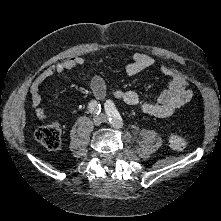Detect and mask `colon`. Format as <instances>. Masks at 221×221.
Wrapping results in <instances>:
<instances>
[{
    "label": "colon",
    "instance_id": "colon-1",
    "mask_svg": "<svg viewBox=\"0 0 221 221\" xmlns=\"http://www.w3.org/2000/svg\"><path fill=\"white\" fill-rule=\"evenodd\" d=\"M61 127L58 123H51L39 127L35 131L36 140L49 150H56L61 144ZM169 145L174 150H183L189 142V135L181 131H174L168 138Z\"/></svg>",
    "mask_w": 221,
    "mask_h": 221
}]
</instances>
